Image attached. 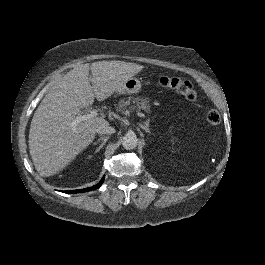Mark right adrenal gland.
<instances>
[{
	"label": "right adrenal gland",
	"mask_w": 265,
	"mask_h": 265,
	"mask_svg": "<svg viewBox=\"0 0 265 265\" xmlns=\"http://www.w3.org/2000/svg\"><path fill=\"white\" fill-rule=\"evenodd\" d=\"M109 139V135L100 137L96 142L93 143V145H97L100 141H102V143L99 145V147L95 150V153L99 152L101 148H103V146L106 144V142Z\"/></svg>",
	"instance_id": "obj_1"
}]
</instances>
